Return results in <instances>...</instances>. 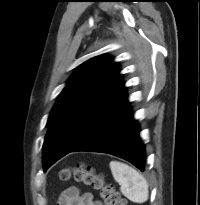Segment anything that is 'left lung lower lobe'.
Masks as SVG:
<instances>
[{
	"label": "left lung lower lobe",
	"mask_w": 200,
	"mask_h": 205,
	"mask_svg": "<svg viewBox=\"0 0 200 205\" xmlns=\"http://www.w3.org/2000/svg\"><path fill=\"white\" fill-rule=\"evenodd\" d=\"M108 153L145 170V147L139 137V125L133 119L126 88L123 87L103 115L70 152Z\"/></svg>",
	"instance_id": "1"
}]
</instances>
